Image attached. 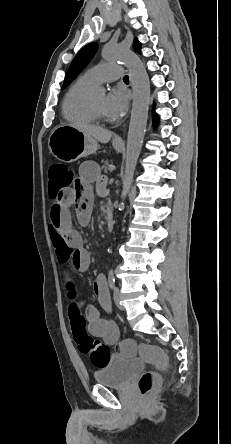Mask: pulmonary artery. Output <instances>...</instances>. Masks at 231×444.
I'll return each mask as SVG.
<instances>
[{
    "label": "pulmonary artery",
    "instance_id": "1",
    "mask_svg": "<svg viewBox=\"0 0 231 444\" xmlns=\"http://www.w3.org/2000/svg\"><path fill=\"white\" fill-rule=\"evenodd\" d=\"M123 69L115 63H103L92 67L83 75L91 83L98 85L121 78Z\"/></svg>",
    "mask_w": 231,
    "mask_h": 444
}]
</instances>
